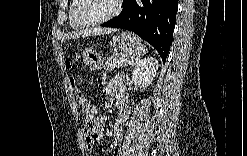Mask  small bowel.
<instances>
[{
	"label": "small bowel",
	"mask_w": 247,
	"mask_h": 156,
	"mask_svg": "<svg viewBox=\"0 0 247 156\" xmlns=\"http://www.w3.org/2000/svg\"><path fill=\"white\" fill-rule=\"evenodd\" d=\"M71 84L72 85L76 84V81L74 78H71ZM76 94H77V97H78L79 102L81 104V107L84 111V116H86L88 108L89 107H95V106L93 104H91L90 102L86 101L79 90L76 91ZM103 94L106 97H114L117 104H118L119 110H118L117 116L115 118L113 127H112V135H113L114 141L116 143V146L118 147V145L120 144V142L123 139L124 122L128 116L127 94L125 91L122 77L116 76V77L112 78L111 80H109L108 82L104 83ZM84 116L82 118V121H84ZM105 122H106V117L100 116L99 124H97V125H99V130H100V127H102L105 124ZM84 127L85 126H83L85 150L87 153H91L92 148H93V146H92L93 141L101 139V131H100L98 137L90 138L85 134ZM113 155H118L117 149L113 152Z\"/></svg>",
	"instance_id": "c3829d8e"
}]
</instances>
